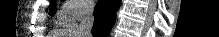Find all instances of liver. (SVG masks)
I'll list each match as a JSON object with an SVG mask.
<instances>
[{
	"label": "liver",
	"instance_id": "6515ba94",
	"mask_svg": "<svg viewBox=\"0 0 219 37\" xmlns=\"http://www.w3.org/2000/svg\"><path fill=\"white\" fill-rule=\"evenodd\" d=\"M74 27V29H73V31H69V33H68V31L66 30V31H64V34H63V31L61 32L62 33V35H76L75 37H79V36H77V29H75V28H77L76 26H73ZM61 35V34H60ZM74 37V36H73Z\"/></svg>",
	"mask_w": 219,
	"mask_h": 37
}]
</instances>
